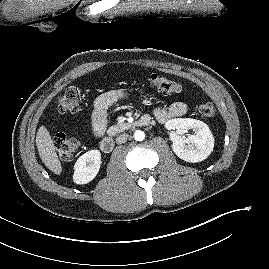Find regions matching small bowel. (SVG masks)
<instances>
[{"label":"small bowel","instance_id":"obj_1","mask_svg":"<svg viewBox=\"0 0 269 269\" xmlns=\"http://www.w3.org/2000/svg\"><path fill=\"white\" fill-rule=\"evenodd\" d=\"M125 97L126 94L123 91L113 90L105 92L96 98L92 115V128L94 134L97 137L102 136L106 130L108 112L110 107L114 103L124 99ZM186 112L187 105L181 101L172 103L168 108L156 107L154 109V115L156 119L161 123H165L170 119L183 117Z\"/></svg>","mask_w":269,"mask_h":269}]
</instances>
